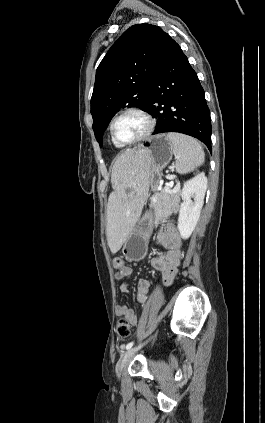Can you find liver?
Instances as JSON below:
<instances>
[{"label":"liver","mask_w":265,"mask_h":423,"mask_svg":"<svg viewBox=\"0 0 265 423\" xmlns=\"http://www.w3.org/2000/svg\"><path fill=\"white\" fill-rule=\"evenodd\" d=\"M150 156L140 149H126L115 161L111 182L114 191L107 204V241L117 253L141 215L149 192Z\"/></svg>","instance_id":"liver-1"}]
</instances>
